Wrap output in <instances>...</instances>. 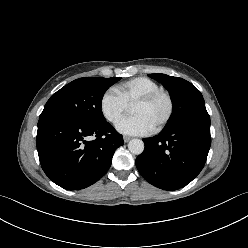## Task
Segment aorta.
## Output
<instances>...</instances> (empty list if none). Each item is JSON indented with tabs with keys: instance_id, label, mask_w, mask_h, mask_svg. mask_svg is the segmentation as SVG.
<instances>
[{
	"instance_id": "aorta-1",
	"label": "aorta",
	"mask_w": 248,
	"mask_h": 248,
	"mask_svg": "<svg viewBox=\"0 0 248 248\" xmlns=\"http://www.w3.org/2000/svg\"><path fill=\"white\" fill-rule=\"evenodd\" d=\"M128 149L135 155H140L144 151V142L140 139H132L128 143Z\"/></svg>"
}]
</instances>
